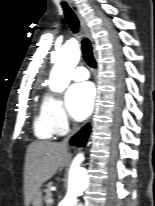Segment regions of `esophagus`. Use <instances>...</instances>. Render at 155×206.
Listing matches in <instances>:
<instances>
[{
  "label": "esophagus",
  "instance_id": "34e87169",
  "mask_svg": "<svg viewBox=\"0 0 155 206\" xmlns=\"http://www.w3.org/2000/svg\"><path fill=\"white\" fill-rule=\"evenodd\" d=\"M68 3L70 5V7L72 8V10L74 11V13L76 14V16L78 17L79 22L81 24V27H82L83 31L85 32L86 36L92 41L91 31H90L86 21L84 20L82 14L80 13L78 6L72 0H68Z\"/></svg>",
  "mask_w": 155,
  "mask_h": 206
}]
</instances>
